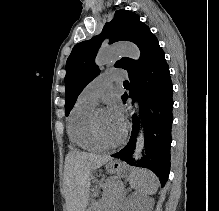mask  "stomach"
Listing matches in <instances>:
<instances>
[{
    "instance_id": "0dacf381",
    "label": "stomach",
    "mask_w": 219,
    "mask_h": 211,
    "mask_svg": "<svg viewBox=\"0 0 219 211\" xmlns=\"http://www.w3.org/2000/svg\"><path fill=\"white\" fill-rule=\"evenodd\" d=\"M127 169V166L119 160H111L106 164V171L110 174H120ZM90 184L96 182L94 172L89 176Z\"/></svg>"
}]
</instances>
